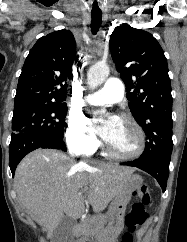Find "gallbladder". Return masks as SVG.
Here are the masks:
<instances>
[{
    "instance_id": "gallbladder-1",
    "label": "gallbladder",
    "mask_w": 187,
    "mask_h": 242,
    "mask_svg": "<svg viewBox=\"0 0 187 242\" xmlns=\"http://www.w3.org/2000/svg\"><path fill=\"white\" fill-rule=\"evenodd\" d=\"M75 224L73 218L64 215L54 231L51 242H74L72 228Z\"/></svg>"
}]
</instances>
